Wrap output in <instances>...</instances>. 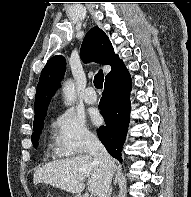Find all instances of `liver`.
Listing matches in <instances>:
<instances>
[{
    "instance_id": "6515ba94",
    "label": "liver",
    "mask_w": 191,
    "mask_h": 197,
    "mask_svg": "<svg viewBox=\"0 0 191 197\" xmlns=\"http://www.w3.org/2000/svg\"><path fill=\"white\" fill-rule=\"evenodd\" d=\"M116 165L113 160V172ZM90 177L88 191L98 196L103 180V169L91 155H77L56 160L38 168L33 176L34 184L47 183L73 194H80L85 184L83 180Z\"/></svg>"
}]
</instances>
